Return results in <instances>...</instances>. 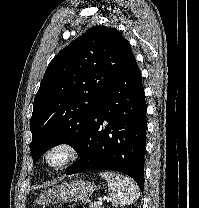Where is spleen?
Wrapping results in <instances>:
<instances>
[{
    "label": "spleen",
    "instance_id": "spleen-1",
    "mask_svg": "<svg viewBox=\"0 0 199 208\" xmlns=\"http://www.w3.org/2000/svg\"><path fill=\"white\" fill-rule=\"evenodd\" d=\"M100 176L108 183L109 195L114 207L130 205L138 200L140 193L134 181L114 172H101Z\"/></svg>",
    "mask_w": 199,
    "mask_h": 208
}]
</instances>
